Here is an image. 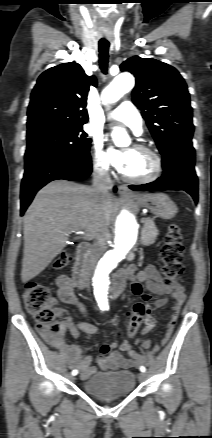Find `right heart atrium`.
<instances>
[{
    "label": "right heart atrium",
    "mask_w": 212,
    "mask_h": 438,
    "mask_svg": "<svg viewBox=\"0 0 212 438\" xmlns=\"http://www.w3.org/2000/svg\"><path fill=\"white\" fill-rule=\"evenodd\" d=\"M92 162L95 172L100 175H107L110 171V158L104 151L99 140L93 143Z\"/></svg>",
    "instance_id": "d8ad5b80"
}]
</instances>
